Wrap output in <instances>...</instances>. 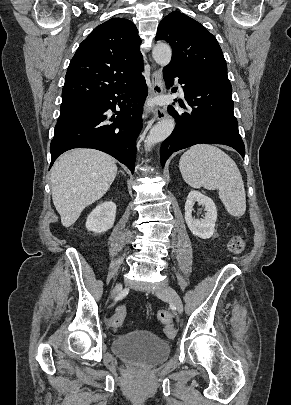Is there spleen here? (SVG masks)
<instances>
[{"label": "spleen", "instance_id": "obj_1", "mask_svg": "<svg viewBox=\"0 0 291 405\" xmlns=\"http://www.w3.org/2000/svg\"><path fill=\"white\" fill-rule=\"evenodd\" d=\"M180 172L194 188L218 190L227 212L241 217L246 211V194L236 163L216 146L201 144L187 150L180 158Z\"/></svg>", "mask_w": 291, "mask_h": 405}]
</instances>
